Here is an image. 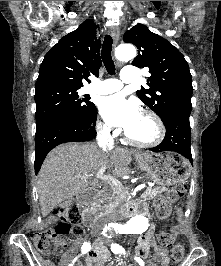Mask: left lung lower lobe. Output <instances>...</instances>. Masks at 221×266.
Listing matches in <instances>:
<instances>
[{"label": "left lung lower lobe", "instance_id": "obj_1", "mask_svg": "<svg viewBox=\"0 0 221 266\" xmlns=\"http://www.w3.org/2000/svg\"><path fill=\"white\" fill-rule=\"evenodd\" d=\"M187 114H175L164 123L166 134L160 145L150 150L156 153L175 152L186 157L191 163L190 122Z\"/></svg>", "mask_w": 221, "mask_h": 266}]
</instances>
